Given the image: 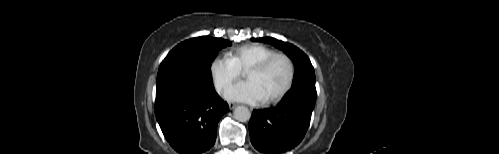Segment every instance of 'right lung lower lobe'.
Listing matches in <instances>:
<instances>
[{
  "label": "right lung lower lobe",
  "instance_id": "1",
  "mask_svg": "<svg viewBox=\"0 0 499 154\" xmlns=\"http://www.w3.org/2000/svg\"><path fill=\"white\" fill-rule=\"evenodd\" d=\"M228 110L214 87L177 84L156 90V119L166 140L181 154L209 150Z\"/></svg>",
  "mask_w": 499,
  "mask_h": 154
}]
</instances>
